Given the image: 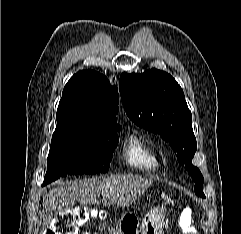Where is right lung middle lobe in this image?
<instances>
[{
    "label": "right lung middle lobe",
    "mask_w": 241,
    "mask_h": 234,
    "mask_svg": "<svg viewBox=\"0 0 241 234\" xmlns=\"http://www.w3.org/2000/svg\"><path fill=\"white\" fill-rule=\"evenodd\" d=\"M56 120L43 185L61 176L104 173L109 169L120 127L81 126L63 114H56Z\"/></svg>",
    "instance_id": "1"
}]
</instances>
